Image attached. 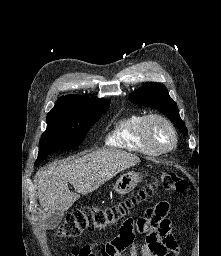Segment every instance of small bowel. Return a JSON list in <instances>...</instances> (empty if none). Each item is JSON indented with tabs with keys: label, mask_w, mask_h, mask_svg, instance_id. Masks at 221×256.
Here are the masks:
<instances>
[{
	"label": "small bowel",
	"mask_w": 221,
	"mask_h": 256,
	"mask_svg": "<svg viewBox=\"0 0 221 256\" xmlns=\"http://www.w3.org/2000/svg\"><path fill=\"white\" fill-rule=\"evenodd\" d=\"M169 205L160 202L137 219L129 220L114 239L97 245L89 244L73 252L74 256H177L179 248L172 233L171 221L167 218ZM145 235V242L135 240V233Z\"/></svg>",
	"instance_id": "1"
}]
</instances>
